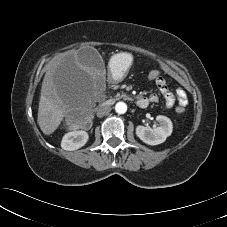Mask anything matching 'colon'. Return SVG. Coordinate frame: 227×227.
<instances>
[{"instance_id":"5ec220e1","label":"colon","mask_w":227,"mask_h":227,"mask_svg":"<svg viewBox=\"0 0 227 227\" xmlns=\"http://www.w3.org/2000/svg\"><path fill=\"white\" fill-rule=\"evenodd\" d=\"M160 77V71L158 69H151L148 73H147V78L150 81H156V79ZM176 111L178 113H183L184 112V108L183 107H177ZM83 123H85V119H80V118H76L73 120V124L75 125H82Z\"/></svg>"}]
</instances>
